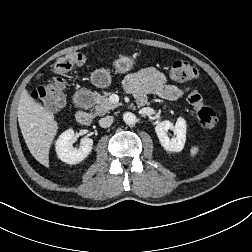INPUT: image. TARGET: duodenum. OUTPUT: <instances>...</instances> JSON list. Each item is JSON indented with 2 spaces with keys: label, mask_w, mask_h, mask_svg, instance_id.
<instances>
[{
  "label": "duodenum",
  "mask_w": 252,
  "mask_h": 252,
  "mask_svg": "<svg viewBox=\"0 0 252 252\" xmlns=\"http://www.w3.org/2000/svg\"><path fill=\"white\" fill-rule=\"evenodd\" d=\"M74 102L80 107L76 113V120L78 123L88 125L91 122L89 113L85 110L93 102V95L85 90L78 91L74 96Z\"/></svg>",
  "instance_id": "obj_1"
}]
</instances>
